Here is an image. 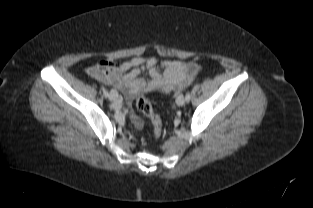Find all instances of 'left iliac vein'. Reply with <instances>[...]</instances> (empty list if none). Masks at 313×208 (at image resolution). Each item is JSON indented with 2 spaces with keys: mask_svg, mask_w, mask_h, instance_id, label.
<instances>
[{
  "mask_svg": "<svg viewBox=\"0 0 313 208\" xmlns=\"http://www.w3.org/2000/svg\"><path fill=\"white\" fill-rule=\"evenodd\" d=\"M185 101H186V99H185V97L181 94V95H179L177 98H176V104L178 105V106H183L184 104H185Z\"/></svg>",
  "mask_w": 313,
  "mask_h": 208,
  "instance_id": "1",
  "label": "left iliac vein"
}]
</instances>
